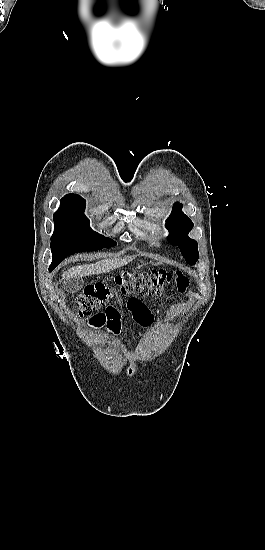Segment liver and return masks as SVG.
Returning a JSON list of instances; mask_svg holds the SVG:
<instances>
[{
	"instance_id": "obj_1",
	"label": "liver",
	"mask_w": 265,
	"mask_h": 550,
	"mask_svg": "<svg viewBox=\"0 0 265 550\" xmlns=\"http://www.w3.org/2000/svg\"><path fill=\"white\" fill-rule=\"evenodd\" d=\"M135 256H127L122 258H109L97 261L92 264L78 265L64 271L62 278L68 281L73 278H82L89 275L108 273L119 267H122L131 262Z\"/></svg>"
}]
</instances>
